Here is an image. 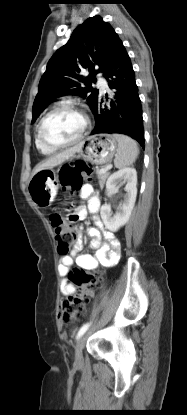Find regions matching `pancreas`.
<instances>
[{
	"mask_svg": "<svg viewBox=\"0 0 187 415\" xmlns=\"http://www.w3.org/2000/svg\"><path fill=\"white\" fill-rule=\"evenodd\" d=\"M96 173H97V177H98V180H99L100 188L102 189L104 187L106 179L109 176V173L100 174L99 170H97Z\"/></svg>",
	"mask_w": 187,
	"mask_h": 415,
	"instance_id": "1",
	"label": "pancreas"
}]
</instances>
